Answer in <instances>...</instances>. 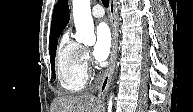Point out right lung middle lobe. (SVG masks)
<instances>
[{"instance_id":"right-lung-middle-lobe-1","label":"right lung middle lobe","mask_w":193,"mask_h":112,"mask_svg":"<svg viewBox=\"0 0 193 112\" xmlns=\"http://www.w3.org/2000/svg\"><path fill=\"white\" fill-rule=\"evenodd\" d=\"M57 42L55 43V45L52 48L49 49L51 69H52L54 78H55V53H56V48H57Z\"/></svg>"}]
</instances>
